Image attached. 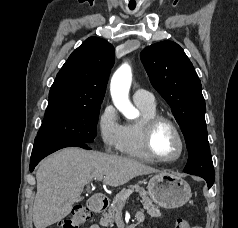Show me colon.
Returning <instances> with one entry per match:
<instances>
[{"mask_svg": "<svg viewBox=\"0 0 238 228\" xmlns=\"http://www.w3.org/2000/svg\"><path fill=\"white\" fill-rule=\"evenodd\" d=\"M91 216L90 211L82 205L75 206L68 218L60 223L59 228H80ZM175 228H200L193 225L189 220L178 218Z\"/></svg>", "mask_w": 238, "mask_h": 228, "instance_id": "obj_1", "label": "colon"}]
</instances>
